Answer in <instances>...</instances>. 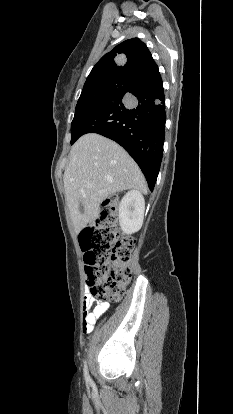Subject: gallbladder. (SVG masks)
Masks as SVG:
<instances>
[{"instance_id": "1", "label": "gallbladder", "mask_w": 233, "mask_h": 414, "mask_svg": "<svg viewBox=\"0 0 233 414\" xmlns=\"http://www.w3.org/2000/svg\"><path fill=\"white\" fill-rule=\"evenodd\" d=\"M83 210H84V207H83L82 203H80V212H83Z\"/></svg>"}]
</instances>
